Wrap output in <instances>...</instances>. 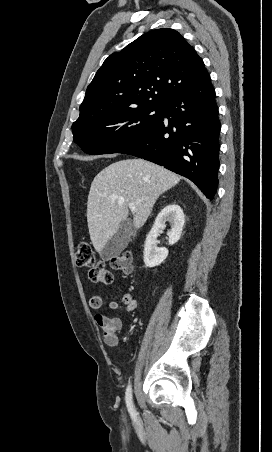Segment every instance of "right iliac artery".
<instances>
[{
  "mask_svg": "<svg viewBox=\"0 0 272 452\" xmlns=\"http://www.w3.org/2000/svg\"><path fill=\"white\" fill-rule=\"evenodd\" d=\"M125 399H126V405H127L128 411H129L131 417L133 419H135L137 417V413H136V410H135V407H134V404L132 401V388H131L130 384L128 385V387L126 389Z\"/></svg>",
  "mask_w": 272,
  "mask_h": 452,
  "instance_id": "obj_1",
  "label": "right iliac artery"
}]
</instances>
